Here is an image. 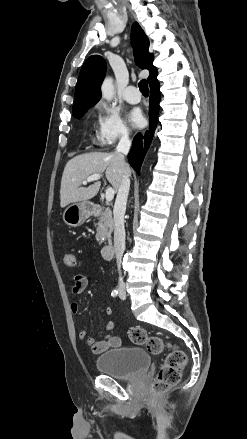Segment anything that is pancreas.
Segmentation results:
<instances>
[{
  "label": "pancreas",
  "instance_id": "pancreas-1",
  "mask_svg": "<svg viewBox=\"0 0 247 439\" xmlns=\"http://www.w3.org/2000/svg\"><path fill=\"white\" fill-rule=\"evenodd\" d=\"M96 226H97L96 240L99 243V245L103 244L106 240L108 242H111L113 219H112V212L109 208L104 209Z\"/></svg>",
  "mask_w": 247,
  "mask_h": 439
}]
</instances>
